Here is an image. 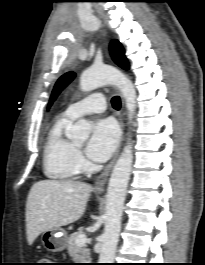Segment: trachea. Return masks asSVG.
Returning <instances> with one entry per match:
<instances>
[{"label": "trachea", "instance_id": "1", "mask_svg": "<svg viewBox=\"0 0 205 265\" xmlns=\"http://www.w3.org/2000/svg\"><path fill=\"white\" fill-rule=\"evenodd\" d=\"M112 106L116 109V110H118V109H120V107H121V100H120V97L119 96H114L113 98H112Z\"/></svg>", "mask_w": 205, "mask_h": 265}]
</instances>
